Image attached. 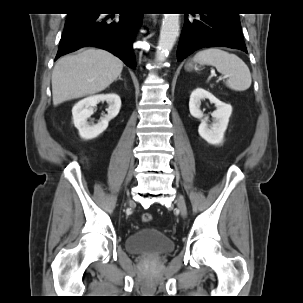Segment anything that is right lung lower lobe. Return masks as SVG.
I'll return each mask as SVG.
<instances>
[{"mask_svg":"<svg viewBox=\"0 0 303 303\" xmlns=\"http://www.w3.org/2000/svg\"><path fill=\"white\" fill-rule=\"evenodd\" d=\"M121 15L120 18L113 19L114 14H100L89 7L68 14L55 60L81 47L95 46L113 53L135 69L132 42L143 15Z\"/></svg>","mask_w":303,"mask_h":303,"instance_id":"98d812e1","label":"right lung lower lobe"}]
</instances>
